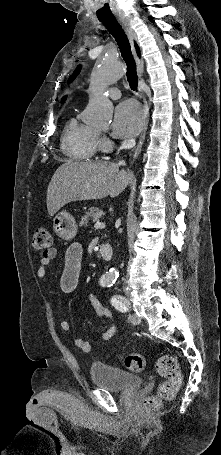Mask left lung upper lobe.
<instances>
[{
	"label": "left lung upper lobe",
	"instance_id": "1",
	"mask_svg": "<svg viewBox=\"0 0 221 455\" xmlns=\"http://www.w3.org/2000/svg\"><path fill=\"white\" fill-rule=\"evenodd\" d=\"M80 69H81V67L78 66L76 71L74 72V75H77L79 73ZM73 78H74V76H71V78L69 79V83L73 80Z\"/></svg>",
	"mask_w": 221,
	"mask_h": 455
}]
</instances>
